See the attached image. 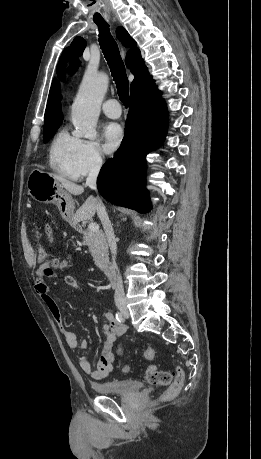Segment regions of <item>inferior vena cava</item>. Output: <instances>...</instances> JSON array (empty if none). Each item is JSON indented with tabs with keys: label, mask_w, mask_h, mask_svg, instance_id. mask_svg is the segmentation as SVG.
<instances>
[{
	"label": "inferior vena cava",
	"mask_w": 261,
	"mask_h": 459,
	"mask_svg": "<svg viewBox=\"0 0 261 459\" xmlns=\"http://www.w3.org/2000/svg\"><path fill=\"white\" fill-rule=\"evenodd\" d=\"M101 166H102V160L100 156L94 157L90 165L88 177L86 179V186H89L91 189L96 190L97 176L99 174ZM94 203H95V208H96L98 217L100 218L103 224L106 238H107L111 253L113 255V260L115 262V258L117 254V245H116L112 225L110 223L108 214L106 212V209H105V206L102 200L99 197L94 198ZM114 289H115V293H114L115 303L116 304L124 303L125 302L124 288H123L122 278L119 274L118 269H117V274H115Z\"/></svg>",
	"instance_id": "inferior-vena-cava-1"
}]
</instances>
